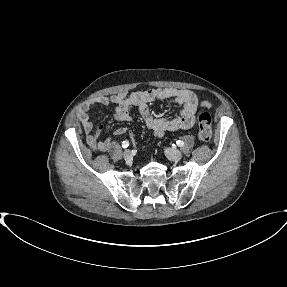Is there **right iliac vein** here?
Here are the masks:
<instances>
[{
    "label": "right iliac vein",
    "instance_id": "right-iliac-vein-1",
    "mask_svg": "<svg viewBox=\"0 0 287 287\" xmlns=\"http://www.w3.org/2000/svg\"><path fill=\"white\" fill-rule=\"evenodd\" d=\"M123 157L126 161H129L132 159L131 151L130 150H125L123 153Z\"/></svg>",
    "mask_w": 287,
    "mask_h": 287
}]
</instances>
